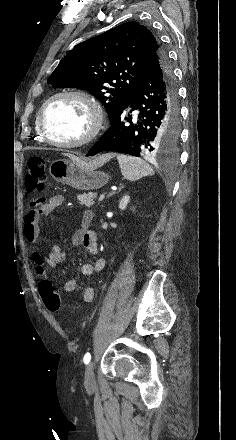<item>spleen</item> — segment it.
Returning a JSON list of instances; mask_svg holds the SVG:
<instances>
[{"label":"spleen","instance_id":"spleen-1","mask_svg":"<svg viewBox=\"0 0 236 440\" xmlns=\"http://www.w3.org/2000/svg\"><path fill=\"white\" fill-rule=\"evenodd\" d=\"M117 160L122 175L129 181H137L142 177L154 174L153 168L141 158L118 154Z\"/></svg>","mask_w":236,"mask_h":440}]
</instances>
